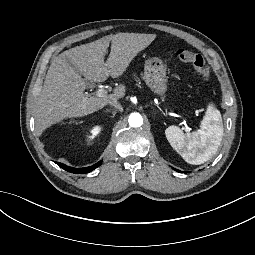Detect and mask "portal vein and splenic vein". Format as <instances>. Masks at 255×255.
Segmentation results:
<instances>
[{
	"mask_svg": "<svg viewBox=\"0 0 255 255\" xmlns=\"http://www.w3.org/2000/svg\"><path fill=\"white\" fill-rule=\"evenodd\" d=\"M107 94V91L104 89V88H99L97 91H96V96L97 97H105ZM183 124L185 125V131H189V127L186 125V122L184 121Z\"/></svg>",
	"mask_w": 255,
	"mask_h": 255,
	"instance_id": "1",
	"label": "portal vein and splenic vein"
}]
</instances>
